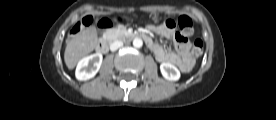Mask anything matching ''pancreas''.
<instances>
[{
    "label": "pancreas",
    "instance_id": "pancreas-1",
    "mask_svg": "<svg viewBox=\"0 0 276 120\" xmlns=\"http://www.w3.org/2000/svg\"><path fill=\"white\" fill-rule=\"evenodd\" d=\"M124 34H126V30L118 28V29L108 30L105 33V36L107 38H110L111 40H114V39H118V38L122 37Z\"/></svg>",
    "mask_w": 276,
    "mask_h": 120
}]
</instances>
